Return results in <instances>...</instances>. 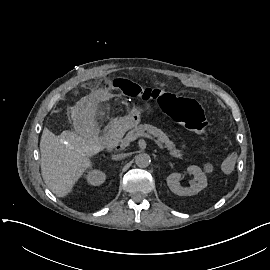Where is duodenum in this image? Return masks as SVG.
<instances>
[{
  "mask_svg": "<svg viewBox=\"0 0 270 270\" xmlns=\"http://www.w3.org/2000/svg\"><path fill=\"white\" fill-rule=\"evenodd\" d=\"M125 128L126 123L123 120H116L108 126L104 136V142L107 148L113 149L119 144Z\"/></svg>",
  "mask_w": 270,
  "mask_h": 270,
  "instance_id": "410a0bca",
  "label": "duodenum"
}]
</instances>
